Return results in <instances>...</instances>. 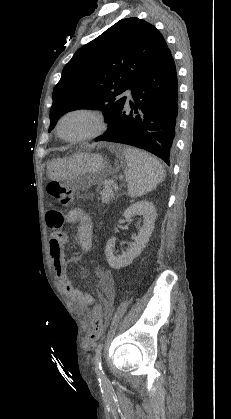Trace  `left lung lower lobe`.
<instances>
[{
  "label": "left lung lower lobe",
  "instance_id": "left-lung-lower-lobe-1",
  "mask_svg": "<svg viewBox=\"0 0 231 419\" xmlns=\"http://www.w3.org/2000/svg\"><path fill=\"white\" fill-rule=\"evenodd\" d=\"M131 113L124 104L109 128L95 141L136 146L152 152L170 164L175 145L178 115V82L170 50L148 69L132 88Z\"/></svg>",
  "mask_w": 231,
  "mask_h": 419
}]
</instances>
